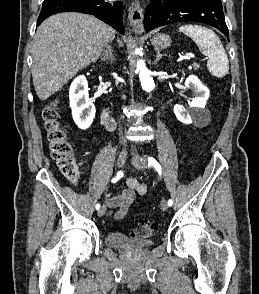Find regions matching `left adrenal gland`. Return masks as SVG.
I'll return each instance as SVG.
<instances>
[{
  "instance_id": "obj_1",
  "label": "left adrenal gland",
  "mask_w": 259,
  "mask_h": 294,
  "mask_svg": "<svg viewBox=\"0 0 259 294\" xmlns=\"http://www.w3.org/2000/svg\"><path fill=\"white\" fill-rule=\"evenodd\" d=\"M162 56H166V55L165 54H160V51H157L155 64H157V62L162 58Z\"/></svg>"
}]
</instances>
